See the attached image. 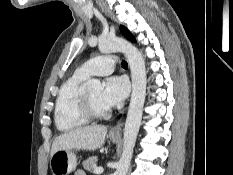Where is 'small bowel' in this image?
Instances as JSON below:
<instances>
[{"mask_svg":"<svg viewBox=\"0 0 233 175\" xmlns=\"http://www.w3.org/2000/svg\"><path fill=\"white\" fill-rule=\"evenodd\" d=\"M74 175H85V173L83 171L79 170Z\"/></svg>","mask_w":233,"mask_h":175,"instance_id":"obj_1","label":"small bowel"}]
</instances>
